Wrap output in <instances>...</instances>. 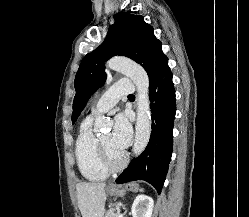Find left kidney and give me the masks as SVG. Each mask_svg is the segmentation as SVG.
<instances>
[{
    "label": "left kidney",
    "instance_id": "left-kidney-1",
    "mask_svg": "<svg viewBox=\"0 0 249 217\" xmlns=\"http://www.w3.org/2000/svg\"><path fill=\"white\" fill-rule=\"evenodd\" d=\"M154 207V201L150 196L138 195L131 208L133 217H151Z\"/></svg>",
    "mask_w": 249,
    "mask_h": 217
}]
</instances>
